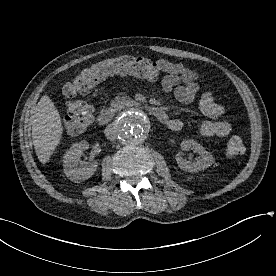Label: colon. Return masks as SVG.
<instances>
[{
  "instance_id": "1",
  "label": "colon",
  "mask_w": 276,
  "mask_h": 276,
  "mask_svg": "<svg viewBox=\"0 0 276 276\" xmlns=\"http://www.w3.org/2000/svg\"><path fill=\"white\" fill-rule=\"evenodd\" d=\"M159 73L156 61L134 55H122L93 63L67 82L63 88L68 99L66 130L70 133H79L91 124L92 106L77 97L89 93L101 81L118 74L155 80ZM244 150L243 140L239 136L231 137L225 146V154L231 158L241 155Z\"/></svg>"
}]
</instances>
